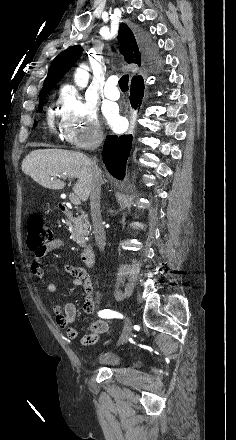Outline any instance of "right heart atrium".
<instances>
[{"instance_id": "obj_1", "label": "right heart atrium", "mask_w": 236, "mask_h": 440, "mask_svg": "<svg viewBox=\"0 0 236 440\" xmlns=\"http://www.w3.org/2000/svg\"><path fill=\"white\" fill-rule=\"evenodd\" d=\"M58 115L61 137L72 147L92 149L102 143L104 135L95 107L73 87L60 89Z\"/></svg>"}]
</instances>
